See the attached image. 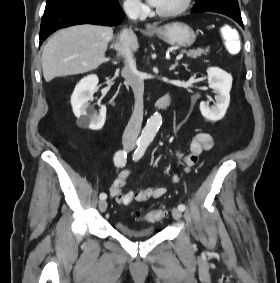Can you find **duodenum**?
I'll use <instances>...</instances> for the list:
<instances>
[{"label": "duodenum", "instance_id": "410a0bca", "mask_svg": "<svg viewBox=\"0 0 280 283\" xmlns=\"http://www.w3.org/2000/svg\"><path fill=\"white\" fill-rule=\"evenodd\" d=\"M169 104H170V96L169 94H165L158 100L156 104V108L159 110H166L169 107Z\"/></svg>", "mask_w": 280, "mask_h": 283}]
</instances>
